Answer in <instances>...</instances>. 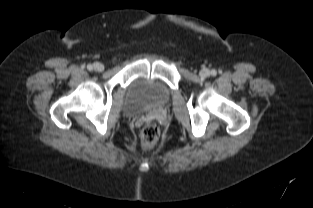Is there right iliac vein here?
<instances>
[{
  "label": "right iliac vein",
  "mask_w": 313,
  "mask_h": 208,
  "mask_svg": "<svg viewBox=\"0 0 313 208\" xmlns=\"http://www.w3.org/2000/svg\"><path fill=\"white\" fill-rule=\"evenodd\" d=\"M93 69L97 72H102L104 70V65L102 63L96 62L93 64Z\"/></svg>",
  "instance_id": "1"
}]
</instances>
